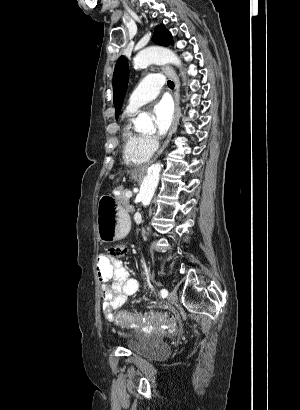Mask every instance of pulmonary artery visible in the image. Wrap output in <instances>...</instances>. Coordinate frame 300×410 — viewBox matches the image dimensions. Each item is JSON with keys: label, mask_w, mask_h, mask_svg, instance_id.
Masks as SVG:
<instances>
[{"label": "pulmonary artery", "mask_w": 300, "mask_h": 410, "mask_svg": "<svg viewBox=\"0 0 300 410\" xmlns=\"http://www.w3.org/2000/svg\"><path fill=\"white\" fill-rule=\"evenodd\" d=\"M164 80L160 74L146 76L136 90L130 95L126 110L135 112L142 105L154 99L160 92Z\"/></svg>", "instance_id": "e3ab8cb5"}]
</instances>
